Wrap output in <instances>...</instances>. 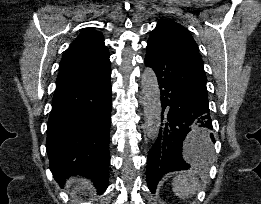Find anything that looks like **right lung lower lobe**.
Returning a JSON list of instances; mask_svg holds the SVG:
<instances>
[{"instance_id":"obj_1","label":"right lung lower lobe","mask_w":261,"mask_h":204,"mask_svg":"<svg viewBox=\"0 0 261 204\" xmlns=\"http://www.w3.org/2000/svg\"><path fill=\"white\" fill-rule=\"evenodd\" d=\"M110 75L108 60L56 80L46 148L50 170L61 186L77 174L91 178L100 194L108 186Z\"/></svg>"}]
</instances>
